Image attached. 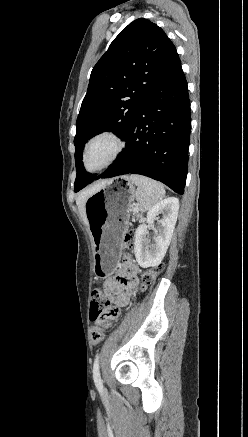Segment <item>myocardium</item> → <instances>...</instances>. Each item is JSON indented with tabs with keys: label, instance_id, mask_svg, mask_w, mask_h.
Masks as SVG:
<instances>
[{
	"label": "myocardium",
	"instance_id": "f54148a6",
	"mask_svg": "<svg viewBox=\"0 0 248 437\" xmlns=\"http://www.w3.org/2000/svg\"><path fill=\"white\" fill-rule=\"evenodd\" d=\"M100 139L111 140L114 144V149L111 152V154L108 156V158L102 164H100L99 166H97L95 168H90L88 166V162H87V155H88L89 149L93 143H95L96 141H98ZM125 146H126L125 141L114 130L104 129V130H101V131L94 133L92 136H90L87 139V141L84 145L83 151H82V165H83L84 170L86 172H89V173H95V172H99V171L106 169L107 167L112 165L119 158V156L123 153Z\"/></svg>",
	"mask_w": 248,
	"mask_h": 437
}]
</instances>
